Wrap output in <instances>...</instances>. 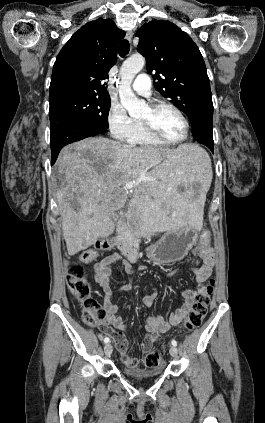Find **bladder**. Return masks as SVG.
<instances>
[{
	"label": "bladder",
	"mask_w": 265,
	"mask_h": 423,
	"mask_svg": "<svg viewBox=\"0 0 265 423\" xmlns=\"http://www.w3.org/2000/svg\"><path fill=\"white\" fill-rule=\"evenodd\" d=\"M122 370L124 374L134 378L155 377L160 375L163 372L162 368L142 369V368H131L125 365L122 367Z\"/></svg>",
	"instance_id": "obj_1"
}]
</instances>
